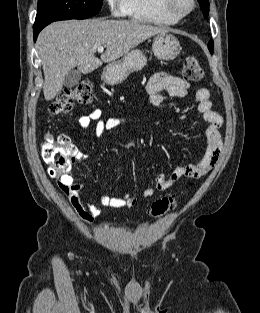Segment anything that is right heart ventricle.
Instances as JSON below:
<instances>
[{"instance_id": "right-heart-ventricle-1", "label": "right heart ventricle", "mask_w": 260, "mask_h": 313, "mask_svg": "<svg viewBox=\"0 0 260 313\" xmlns=\"http://www.w3.org/2000/svg\"><path fill=\"white\" fill-rule=\"evenodd\" d=\"M125 14L136 22L173 25L178 22L160 7V0H125Z\"/></svg>"}]
</instances>
